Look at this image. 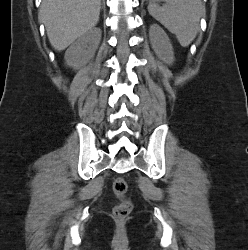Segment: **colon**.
Instances as JSON below:
<instances>
[{"label":"colon","mask_w":248,"mask_h":250,"mask_svg":"<svg viewBox=\"0 0 248 250\" xmlns=\"http://www.w3.org/2000/svg\"><path fill=\"white\" fill-rule=\"evenodd\" d=\"M112 188L115 196L120 199V203L113 210V215L115 219L122 221L132 209V204L126 197L128 185L123 177H117L113 180Z\"/></svg>","instance_id":"obj_1"}]
</instances>
